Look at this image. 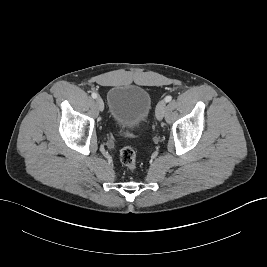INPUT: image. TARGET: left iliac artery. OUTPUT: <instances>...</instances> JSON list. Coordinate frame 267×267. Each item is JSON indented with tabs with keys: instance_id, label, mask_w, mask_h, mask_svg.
<instances>
[{
	"instance_id": "44dca946",
	"label": "left iliac artery",
	"mask_w": 267,
	"mask_h": 267,
	"mask_svg": "<svg viewBox=\"0 0 267 267\" xmlns=\"http://www.w3.org/2000/svg\"><path fill=\"white\" fill-rule=\"evenodd\" d=\"M172 100V97L171 96H167L166 98H165V101L166 102H170Z\"/></svg>"
}]
</instances>
